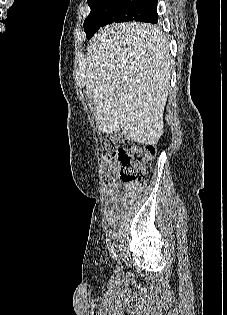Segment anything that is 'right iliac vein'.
<instances>
[{
  "mask_svg": "<svg viewBox=\"0 0 227 315\" xmlns=\"http://www.w3.org/2000/svg\"><path fill=\"white\" fill-rule=\"evenodd\" d=\"M114 257H115V259H117V257H118V250H116V245H114Z\"/></svg>",
  "mask_w": 227,
  "mask_h": 315,
  "instance_id": "obj_1",
  "label": "right iliac vein"
}]
</instances>
